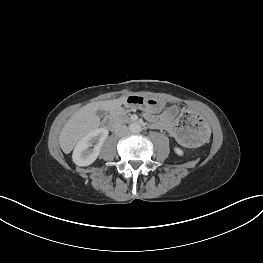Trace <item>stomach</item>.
<instances>
[{
  "label": "stomach",
  "instance_id": "0dacf381",
  "mask_svg": "<svg viewBox=\"0 0 263 263\" xmlns=\"http://www.w3.org/2000/svg\"><path fill=\"white\" fill-rule=\"evenodd\" d=\"M125 106L147 111H158L163 104L155 99L130 95L126 98ZM160 121L177 134L180 144L186 148H193L203 144L207 138V131L201 116L183 104L167 106L162 109Z\"/></svg>",
  "mask_w": 263,
  "mask_h": 263
}]
</instances>
